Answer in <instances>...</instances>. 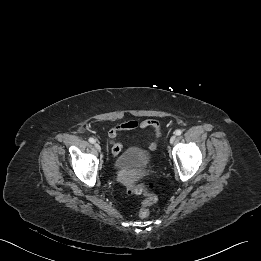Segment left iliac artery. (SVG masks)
Returning a JSON list of instances; mask_svg holds the SVG:
<instances>
[{"label":"left iliac artery","mask_w":261,"mask_h":261,"mask_svg":"<svg viewBox=\"0 0 261 261\" xmlns=\"http://www.w3.org/2000/svg\"><path fill=\"white\" fill-rule=\"evenodd\" d=\"M175 134L178 136V135H181L182 134V130L178 129L175 131Z\"/></svg>","instance_id":"44dca946"}]
</instances>
